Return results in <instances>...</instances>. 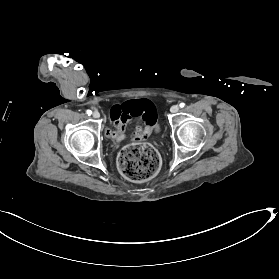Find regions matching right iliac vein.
Instances as JSON below:
<instances>
[{
	"label": "right iliac vein",
	"instance_id": "right-iliac-vein-1",
	"mask_svg": "<svg viewBox=\"0 0 279 279\" xmlns=\"http://www.w3.org/2000/svg\"><path fill=\"white\" fill-rule=\"evenodd\" d=\"M93 117L94 118H99L100 117V113L98 111H94L93 112Z\"/></svg>",
	"mask_w": 279,
	"mask_h": 279
}]
</instances>
